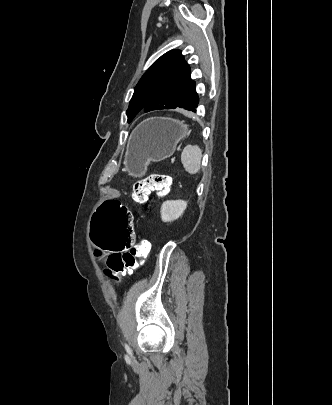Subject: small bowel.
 Instances as JSON below:
<instances>
[{
  "mask_svg": "<svg viewBox=\"0 0 332 405\" xmlns=\"http://www.w3.org/2000/svg\"><path fill=\"white\" fill-rule=\"evenodd\" d=\"M132 222H133V220H132ZM135 238H136V236H135ZM112 257H106V259H108L109 260V262H110V259H111Z\"/></svg>",
  "mask_w": 332,
  "mask_h": 405,
  "instance_id": "obj_1",
  "label": "small bowel"
}]
</instances>
